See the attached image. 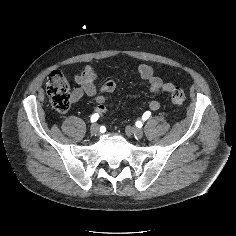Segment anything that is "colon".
<instances>
[{
  "instance_id": "1",
  "label": "colon",
  "mask_w": 236,
  "mask_h": 236,
  "mask_svg": "<svg viewBox=\"0 0 236 236\" xmlns=\"http://www.w3.org/2000/svg\"><path fill=\"white\" fill-rule=\"evenodd\" d=\"M46 90L52 106L61 112L67 111L73 101L70 85L61 71L55 70L50 73L46 82ZM171 101L182 104L186 101V94L180 88H174L171 93Z\"/></svg>"
}]
</instances>
